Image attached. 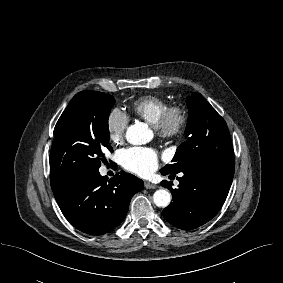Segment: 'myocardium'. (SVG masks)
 <instances>
[{
    "instance_id": "f54148a6",
    "label": "myocardium",
    "mask_w": 283,
    "mask_h": 283,
    "mask_svg": "<svg viewBox=\"0 0 283 283\" xmlns=\"http://www.w3.org/2000/svg\"><path fill=\"white\" fill-rule=\"evenodd\" d=\"M188 120L187 109L183 105L174 104L166 108L155 128L161 138L175 139L184 133Z\"/></svg>"
}]
</instances>
